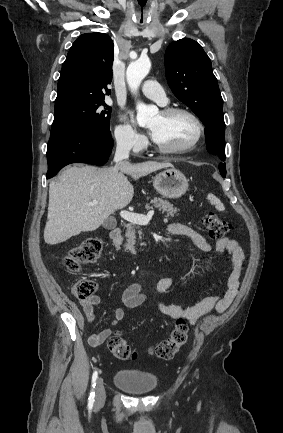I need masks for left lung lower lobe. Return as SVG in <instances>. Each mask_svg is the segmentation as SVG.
<instances>
[{
  "label": "left lung lower lobe",
  "mask_w": 283,
  "mask_h": 433,
  "mask_svg": "<svg viewBox=\"0 0 283 433\" xmlns=\"http://www.w3.org/2000/svg\"><path fill=\"white\" fill-rule=\"evenodd\" d=\"M208 152L217 155L222 161H225V147L217 142L207 144ZM219 171L223 178L226 177V166L225 163H219Z\"/></svg>",
  "instance_id": "left-lung-lower-lobe-1"
}]
</instances>
